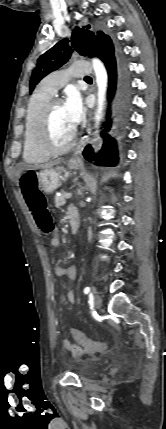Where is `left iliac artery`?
<instances>
[{"instance_id":"1","label":"left iliac artery","mask_w":166,"mask_h":429,"mask_svg":"<svg viewBox=\"0 0 166 429\" xmlns=\"http://www.w3.org/2000/svg\"><path fill=\"white\" fill-rule=\"evenodd\" d=\"M90 291H91L90 287H86V288L84 289V293H85V294L90 293Z\"/></svg>"}]
</instances>
